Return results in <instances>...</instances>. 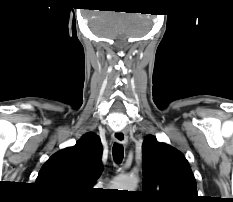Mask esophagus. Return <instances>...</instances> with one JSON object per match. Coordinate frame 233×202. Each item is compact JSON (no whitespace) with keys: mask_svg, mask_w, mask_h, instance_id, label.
Instances as JSON below:
<instances>
[{"mask_svg":"<svg viewBox=\"0 0 233 202\" xmlns=\"http://www.w3.org/2000/svg\"><path fill=\"white\" fill-rule=\"evenodd\" d=\"M113 139L120 144H126L128 141L126 133L122 130L115 131L113 133Z\"/></svg>","mask_w":233,"mask_h":202,"instance_id":"34e87169","label":"esophagus"}]
</instances>
